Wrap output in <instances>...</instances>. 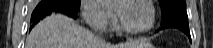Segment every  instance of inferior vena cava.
Segmentation results:
<instances>
[{"instance_id":"602c4592","label":"inferior vena cava","mask_w":213,"mask_h":48,"mask_svg":"<svg viewBox=\"0 0 213 48\" xmlns=\"http://www.w3.org/2000/svg\"><path fill=\"white\" fill-rule=\"evenodd\" d=\"M97 38L100 39V40H102V39L100 38V36H97Z\"/></svg>"}]
</instances>
